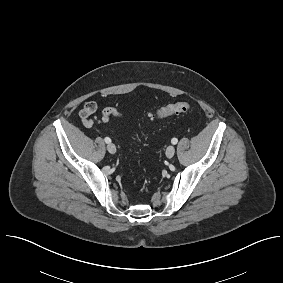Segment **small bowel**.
Segmentation results:
<instances>
[{"label":"small bowel","instance_id":"c3829d8e","mask_svg":"<svg viewBox=\"0 0 283 283\" xmlns=\"http://www.w3.org/2000/svg\"><path fill=\"white\" fill-rule=\"evenodd\" d=\"M97 105L93 101H86L79 112V118L84 126L90 127L95 123H106L111 118H121L122 113L116 107L110 106L102 110L100 115H95Z\"/></svg>","mask_w":283,"mask_h":283}]
</instances>
